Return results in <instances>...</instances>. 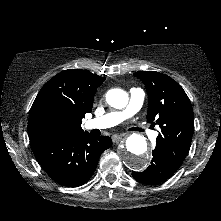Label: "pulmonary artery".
Masks as SVG:
<instances>
[{
	"instance_id": "e3ab8cb5",
	"label": "pulmonary artery",
	"mask_w": 221,
	"mask_h": 221,
	"mask_svg": "<svg viewBox=\"0 0 221 221\" xmlns=\"http://www.w3.org/2000/svg\"><path fill=\"white\" fill-rule=\"evenodd\" d=\"M144 91L140 88H132L130 91V99L127 107L122 111L111 112L103 116L94 118L86 122L88 129H105L113 127L122 121L132 118L142 107L144 101ZM140 129L152 137H156V133L150 131L143 124H139Z\"/></svg>"
}]
</instances>
